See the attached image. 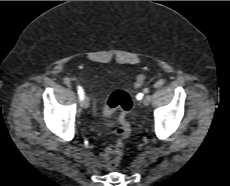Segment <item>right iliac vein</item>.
Returning a JSON list of instances; mask_svg holds the SVG:
<instances>
[{
    "label": "right iliac vein",
    "instance_id": "obj_1",
    "mask_svg": "<svg viewBox=\"0 0 230 186\" xmlns=\"http://www.w3.org/2000/svg\"><path fill=\"white\" fill-rule=\"evenodd\" d=\"M89 98L87 96H84L82 99V107L87 109L89 107Z\"/></svg>",
    "mask_w": 230,
    "mask_h": 186
}]
</instances>
